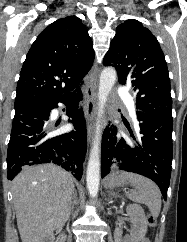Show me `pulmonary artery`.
<instances>
[{
    "mask_svg": "<svg viewBox=\"0 0 187 242\" xmlns=\"http://www.w3.org/2000/svg\"><path fill=\"white\" fill-rule=\"evenodd\" d=\"M120 93H125V90L124 89H121L120 90ZM129 110H130L131 114L134 116L135 115V111H134L133 104L130 105Z\"/></svg>",
    "mask_w": 187,
    "mask_h": 242,
    "instance_id": "obj_1",
    "label": "pulmonary artery"
}]
</instances>
